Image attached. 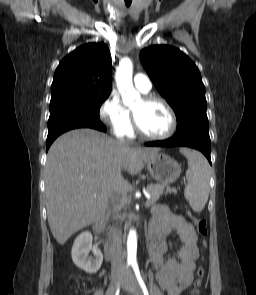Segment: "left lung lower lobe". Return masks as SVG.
I'll return each instance as SVG.
<instances>
[{
  "instance_id": "obj_1",
  "label": "left lung lower lobe",
  "mask_w": 256,
  "mask_h": 295,
  "mask_svg": "<svg viewBox=\"0 0 256 295\" xmlns=\"http://www.w3.org/2000/svg\"><path fill=\"white\" fill-rule=\"evenodd\" d=\"M146 146L156 147H191L201 151L211 163L210 157V137L208 132L191 130L174 135L172 138L163 141L148 142Z\"/></svg>"
}]
</instances>
